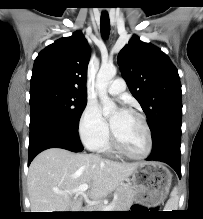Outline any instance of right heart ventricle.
<instances>
[{
  "label": "right heart ventricle",
  "instance_id": "1",
  "mask_svg": "<svg viewBox=\"0 0 203 219\" xmlns=\"http://www.w3.org/2000/svg\"><path fill=\"white\" fill-rule=\"evenodd\" d=\"M102 148L104 150H110V145H109L108 141L106 142V144Z\"/></svg>",
  "mask_w": 203,
  "mask_h": 219
}]
</instances>
